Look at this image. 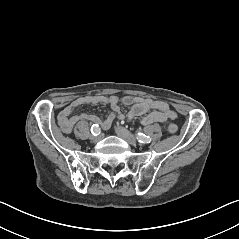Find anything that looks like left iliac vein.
<instances>
[{
  "mask_svg": "<svg viewBox=\"0 0 239 239\" xmlns=\"http://www.w3.org/2000/svg\"><path fill=\"white\" fill-rule=\"evenodd\" d=\"M116 133L117 135L122 138L123 140H125L127 143L131 144V145H136L137 144V140L136 138L125 128L123 127H116Z\"/></svg>",
  "mask_w": 239,
  "mask_h": 239,
  "instance_id": "1",
  "label": "left iliac vein"
}]
</instances>
